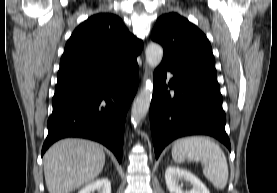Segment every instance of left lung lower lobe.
<instances>
[{"label":"left lung lower lobe","instance_id":"0a47b994","mask_svg":"<svg viewBox=\"0 0 277 193\" xmlns=\"http://www.w3.org/2000/svg\"><path fill=\"white\" fill-rule=\"evenodd\" d=\"M167 73L173 78L167 81ZM173 89L170 94L167 89ZM217 75L178 71L160 65L154 73L150 126L156 159L171 141L188 135H210L231 151Z\"/></svg>","mask_w":277,"mask_h":193}]
</instances>
